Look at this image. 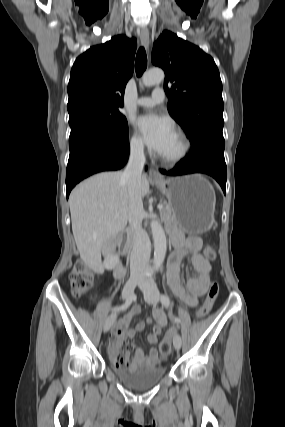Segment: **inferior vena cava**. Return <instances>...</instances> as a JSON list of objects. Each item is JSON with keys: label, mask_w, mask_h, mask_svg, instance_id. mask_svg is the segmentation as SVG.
I'll use <instances>...</instances> for the list:
<instances>
[{"label": "inferior vena cava", "mask_w": 285, "mask_h": 427, "mask_svg": "<svg viewBox=\"0 0 285 427\" xmlns=\"http://www.w3.org/2000/svg\"><path fill=\"white\" fill-rule=\"evenodd\" d=\"M144 163V147L142 145L133 146L130 151L129 161L122 174V179L127 183L129 191L128 220L134 236L130 256V270L131 275L137 276L141 275L146 269L151 251L149 236L141 227L144 210L140 193V182Z\"/></svg>", "instance_id": "inferior-vena-cava-1"}]
</instances>
